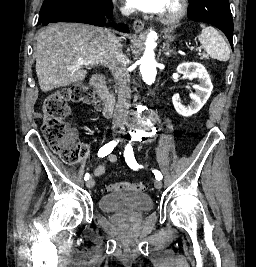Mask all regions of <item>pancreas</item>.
<instances>
[{
  "mask_svg": "<svg viewBox=\"0 0 256 267\" xmlns=\"http://www.w3.org/2000/svg\"><path fill=\"white\" fill-rule=\"evenodd\" d=\"M201 58H206V56H201Z\"/></svg>",
  "mask_w": 256,
  "mask_h": 267,
  "instance_id": "pancreas-1",
  "label": "pancreas"
}]
</instances>
